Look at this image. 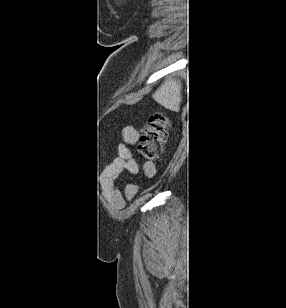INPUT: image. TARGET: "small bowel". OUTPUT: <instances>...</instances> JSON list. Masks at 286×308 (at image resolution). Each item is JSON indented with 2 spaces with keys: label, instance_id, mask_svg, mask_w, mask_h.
<instances>
[{
  "label": "small bowel",
  "instance_id": "1",
  "mask_svg": "<svg viewBox=\"0 0 286 308\" xmlns=\"http://www.w3.org/2000/svg\"><path fill=\"white\" fill-rule=\"evenodd\" d=\"M122 137L124 143L119 145V155L110 167L114 180H117L125 170L131 175H137L140 171L139 164L131 158L128 148V145H132L137 141L139 137L138 130L133 126H125L122 130ZM143 172L146 176L153 177L155 174V166L152 163H145L143 165ZM132 195V191L126 193V197H131Z\"/></svg>",
  "mask_w": 286,
  "mask_h": 308
}]
</instances>
